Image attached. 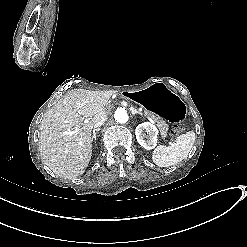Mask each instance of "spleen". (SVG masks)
Returning <instances> with one entry per match:
<instances>
[{"mask_svg": "<svg viewBox=\"0 0 247 247\" xmlns=\"http://www.w3.org/2000/svg\"><path fill=\"white\" fill-rule=\"evenodd\" d=\"M196 136L193 131L181 134L172 145H159L152 155L153 162L159 167H169L187 158L191 151Z\"/></svg>", "mask_w": 247, "mask_h": 247, "instance_id": "obj_1", "label": "spleen"}]
</instances>
